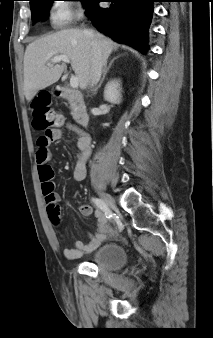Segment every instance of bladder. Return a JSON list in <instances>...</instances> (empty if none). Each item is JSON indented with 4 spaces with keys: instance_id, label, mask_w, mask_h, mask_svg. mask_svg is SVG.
Returning <instances> with one entry per match:
<instances>
[{
    "instance_id": "1",
    "label": "bladder",
    "mask_w": 213,
    "mask_h": 338,
    "mask_svg": "<svg viewBox=\"0 0 213 338\" xmlns=\"http://www.w3.org/2000/svg\"><path fill=\"white\" fill-rule=\"evenodd\" d=\"M89 263L99 270L116 272L128 263V257L122 244L108 242L92 254Z\"/></svg>"
}]
</instances>
